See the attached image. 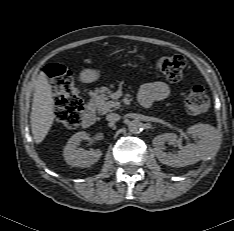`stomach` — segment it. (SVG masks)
I'll return each instance as SVG.
<instances>
[{
	"label": "stomach",
	"instance_id": "0dacf381",
	"mask_svg": "<svg viewBox=\"0 0 234 231\" xmlns=\"http://www.w3.org/2000/svg\"><path fill=\"white\" fill-rule=\"evenodd\" d=\"M100 78V71L95 69H86L81 73V80L87 83L94 82Z\"/></svg>",
	"mask_w": 234,
	"mask_h": 231
}]
</instances>
